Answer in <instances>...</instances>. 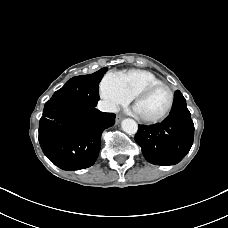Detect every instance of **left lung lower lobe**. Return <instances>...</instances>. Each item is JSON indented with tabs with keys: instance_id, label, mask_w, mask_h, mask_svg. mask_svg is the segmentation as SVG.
<instances>
[{
	"instance_id": "left-lung-lower-lobe-1",
	"label": "left lung lower lobe",
	"mask_w": 228,
	"mask_h": 228,
	"mask_svg": "<svg viewBox=\"0 0 228 228\" xmlns=\"http://www.w3.org/2000/svg\"><path fill=\"white\" fill-rule=\"evenodd\" d=\"M194 139V124L180 91L174 94L170 115L161 123L139 125L135 141L146 160L156 165H173L189 152Z\"/></svg>"
}]
</instances>
